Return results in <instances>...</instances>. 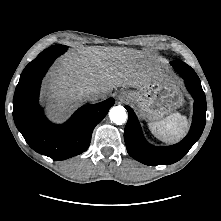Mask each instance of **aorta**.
<instances>
[{
	"mask_svg": "<svg viewBox=\"0 0 221 221\" xmlns=\"http://www.w3.org/2000/svg\"><path fill=\"white\" fill-rule=\"evenodd\" d=\"M110 120L118 125H122L127 120V113L122 106H114L109 111Z\"/></svg>",
	"mask_w": 221,
	"mask_h": 221,
	"instance_id": "762f6f07",
	"label": "aorta"
}]
</instances>
